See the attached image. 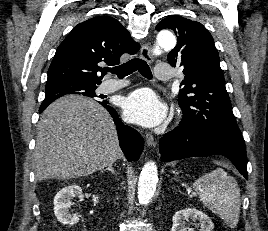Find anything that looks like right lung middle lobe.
I'll list each match as a JSON object with an SVG mask.
<instances>
[{"label": "right lung middle lobe", "mask_w": 268, "mask_h": 231, "mask_svg": "<svg viewBox=\"0 0 268 231\" xmlns=\"http://www.w3.org/2000/svg\"><path fill=\"white\" fill-rule=\"evenodd\" d=\"M96 84L82 83L70 80H61L46 84L45 99H57L64 95L78 94L88 97H95ZM44 99V100H45Z\"/></svg>", "instance_id": "obj_1"}]
</instances>
